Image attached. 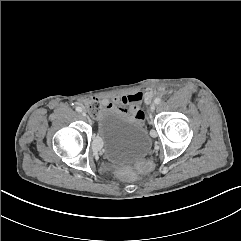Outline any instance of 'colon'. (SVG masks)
<instances>
[{
  "label": "colon",
  "mask_w": 241,
  "mask_h": 241,
  "mask_svg": "<svg viewBox=\"0 0 241 241\" xmlns=\"http://www.w3.org/2000/svg\"><path fill=\"white\" fill-rule=\"evenodd\" d=\"M85 108L92 116H97L100 114L103 106L98 99L91 98L86 104ZM149 169L147 164H140L136 168L133 167H124L118 171V175L127 180H135L143 172H146Z\"/></svg>",
  "instance_id": "colon-1"
}]
</instances>
